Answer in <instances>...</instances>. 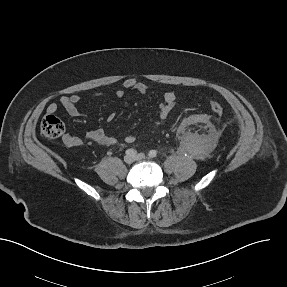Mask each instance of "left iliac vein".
Returning <instances> with one entry per match:
<instances>
[{
    "mask_svg": "<svg viewBox=\"0 0 287 287\" xmlns=\"http://www.w3.org/2000/svg\"><path fill=\"white\" fill-rule=\"evenodd\" d=\"M144 158H145V155H144L143 153H140V154H138V155L135 156V159H136V160H142V159H144Z\"/></svg>",
    "mask_w": 287,
    "mask_h": 287,
    "instance_id": "1",
    "label": "left iliac vein"
}]
</instances>
